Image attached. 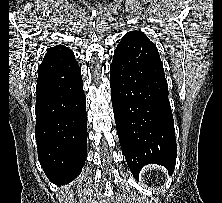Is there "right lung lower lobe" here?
<instances>
[{"label":"right lung lower lobe","instance_id":"obj_1","mask_svg":"<svg viewBox=\"0 0 222 203\" xmlns=\"http://www.w3.org/2000/svg\"><path fill=\"white\" fill-rule=\"evenodd\" d=\"M36 93L39 162L51 182L68 184L87 156L86 99L77 61L39 65Z\"/></svg>","mask_w":222,"mask_h":203}]
</instances>
